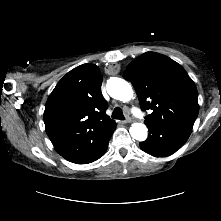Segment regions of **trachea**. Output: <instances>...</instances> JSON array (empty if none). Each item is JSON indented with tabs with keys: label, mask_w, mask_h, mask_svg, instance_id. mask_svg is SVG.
I'll return each instance as SVG.
<instances>
[{
	"label": "trachea",
	"mask_w": 221,
	"mask_h": 221,
	"mask_svg": "<svg viewBox=\"0 0 221 221\" xmlns=\"http://www.w3.org/2000/svg\"><path fill=\"white\" fill-rule=\"evenodd\" d=\"M112 118L118 119V120H124L125 117L123 115L122 109L119 107H116L112 113Z\"/></svg>",
	"instance_id": "obj_1"
}]
</instances>
